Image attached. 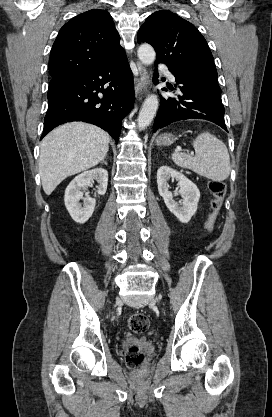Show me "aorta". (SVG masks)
<instances>
[{"label": "aorta", "instance_id": "762f6f07", "mask_svg": "<svg viewBox=\"0 0 272 417\" xmlns=\"http://www.w3.org/2000/svg\"><path fill=\"white\" fill-rule=\"evenodd\" d=\"M137 53L140 61L145 65H151L155 60V50L149 44H142L138 48ZM157 109L158 97L154 94H151L145 99L138 116V127L140 130L145 129L147 126L150 125L156 114Z\"/></svg>", "mask_w": 272, "mask_h": 417}]
</instances>
